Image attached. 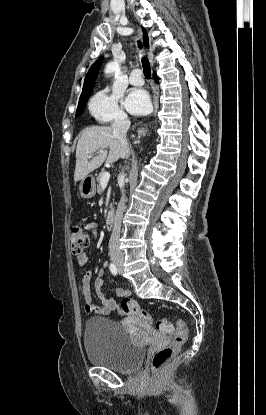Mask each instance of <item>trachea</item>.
Instances as JSON below:
<instances>
[{
  "mask_svg": "<svg viewBox=\"0 0 266 415\" xmlns=\"http://www.w3.org/2000/svg\"><path fill=\"white\" fill-rule=\"evenodd\" d=\"M138 45L140 48L142 47L140 41H138ZM141 61H142L144 75L147 79H150L151 77L150 63L146 57H143Z\"/></svg>",
  "mask_w": 266,
  "mask_h": 415,
  "instance_id": "trachea-1",
  "label": "trachea"
}]
</instances>
